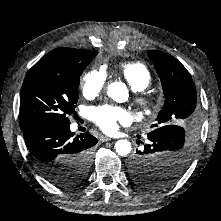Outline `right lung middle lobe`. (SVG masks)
Instances as JSON below:
<instances>
[{
	"label": "right lung middle lobe",
	"instance_id": "1",
	"mask_svg": "<svg viewBox=\"0 0 221 221\" xmlns=\"http://www.w3.org/2000/svg\"><path fill=\"white\" fill-rule=\"evenodd\" d=\"M97 52L82 61L54 63L31 68L20 93V127L44 121L69 122L78 101L79 77ZM90 152L66 159L47 170L50 182L70 186L83 180L89 169Z\"/></svg>",
	"mask_w": 221,
	"mask_h": 221
}]
</instances>
